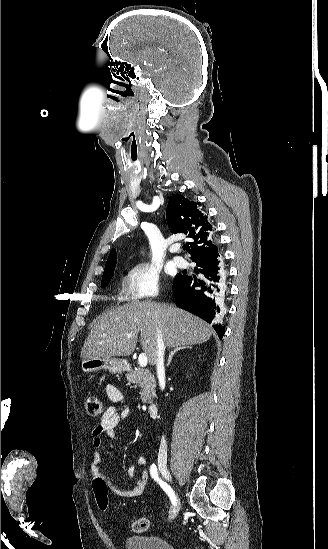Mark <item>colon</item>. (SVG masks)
<instances>
[{"label": "colon", "mask_w": 328, "mask_h": 549, "mask_svg": "<svg viewBox=\"0 0 328 549\" xmlns=\"http://www.w3.org/2000/svg\"><path fill=\"white\" fill-rule=\"evenodd\" d=\"M86 411L90 416H98L102 414L104 405L102 401L94 396H89L85 401ZM93 490L96 497V502L100 510L104 511L109 506V493L106 481L103 478H97L93 481ZM149 519L140 517L133 522L132 528L135 532L141 533L148 529Z\"/></svg>", "instance_id": "1"}]
</instances>
